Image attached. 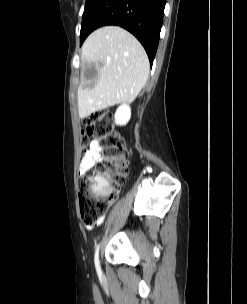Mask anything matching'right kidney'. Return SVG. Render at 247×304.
<instances>
[{"instance_id":"ca27d5eb","label":"right kidney","mask_w":247,"mask_h":304,"mask_svg":"<svg viewBox=\"0 0 247 304\" xmlns=\"http://www.w3.org/2000/svg\"><path fill=\"white\" fill-rule=\"evenodd\" d=\"M115 123L117 125H126L131 118V108L129 105L123 104L119 106L115 112Z\"/></svg>"}]
</instances>
